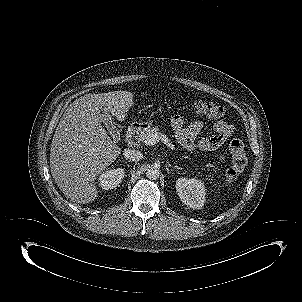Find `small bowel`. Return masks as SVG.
Returning <instances> with one entry per match:
<instances>
[{
    "instance_id": "c3829d8e",
    "label": "small bowel",
    "mask_w": 302,
    "mask_h": 302,
    "mask_svg": "<svg viewBox=\"0 0 302 302\" xmlns=\"http://www.w3.org/2000/svg\"><path fill=\"white\" fill-rule=\"evenodd\" d=\"M171 126L175 131L178 142L188 150H192L196 146L202 150L219 148L226 143L234 131V127L231 124L218 120L213 125L215 135L203 136L198 139L203 129V123L196 120L186 126L184 119L180 115H174L171 118Z\"/></svg>"
}]
</instances>
